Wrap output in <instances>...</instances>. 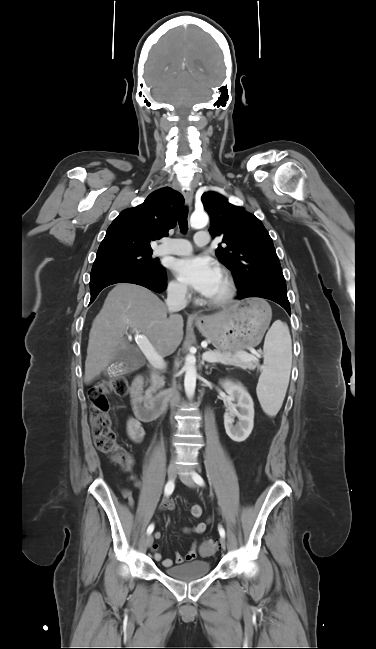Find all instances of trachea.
Here are the masks:
<instances>
[{
	"mask_svg": "<svg viewBox=\"0 0 376 649\" xmlns=\"http://www.w3.org/2000/svg\"><path fill=\"white\" fill-rule=\"evenodd\" d=\"M188 209L185 207L181 210L179 215V227L182 233H186L188 230Z\"/></svg>",
	"mask_w": 376,
	"mask_h": 649,
	"instance_id": "obj_1",
	"label": "trachea"
}]
</instances>
